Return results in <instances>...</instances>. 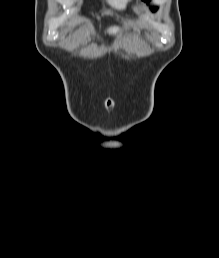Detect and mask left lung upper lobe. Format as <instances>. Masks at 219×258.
<instances>
[{"instance_id": "left-lung-upper-lobe-1", "label": "left lung upper lobe", "mask_w": 219, "mask_h": 258, "mask_svg": "<svg viewBox=\"0 0 219 258\" xmlns=\"http://www.w3.org/2000/svg\"><path fill=\"white\" fill-rule=\"evenodd\" d=\"M144 1H145V2H148L149 0H144ZM152 10H153V11H155V10H156V8H152Z\"/></svg>"}]
</instances>
